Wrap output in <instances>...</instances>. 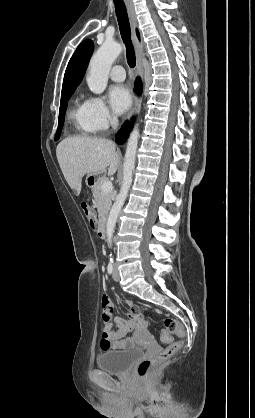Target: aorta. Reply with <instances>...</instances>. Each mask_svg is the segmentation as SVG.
Wrapping results in <instances>:
<instances>
[{"mask_svg": "<svg viewBox=\"0 0 255 418\" xmlns=\"http://www.w3.org/2000/svg\"><path fill=\"white\" fill-rule=\"evenodd\" d=\"M122 51L121 44L114 41H105L98 51L93 55L89 64L87 84L89 89L95 94L104 92L108 82V75L112 63ZM139 130L135 127L129 137L125 158L123 163V180L120 191L111 208L106 224L107 242L112 243L114 228L119 212L127 198L128 191L132 184L133 170L138 147Z\"/></svg>", "mask_w": 255, "mask_h": 418, "instance_id": "obj_1", "label": "aorta"}]
</instances>
